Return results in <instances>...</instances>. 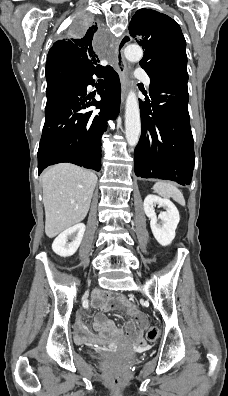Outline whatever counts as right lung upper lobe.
<instances>
[{"mask_svg":"<svg viewBox=\"0 0 228 396\" xmlns=\"http://www.w3.org/2000/svg\"><path fill=\"white\" fill-rule=\"evenodd\" d=\"M96 31L97 26H93L83 37L56 41L48 52L46 73L62 70L75 73L82 69L96 71L111 68L97 64L99 59L93 50V36Z\"/></svg>","mask_w":228,"mask_h":396,"instance_id":"cb5924a9","label":"right lung upper lobe"}]
</instances>
